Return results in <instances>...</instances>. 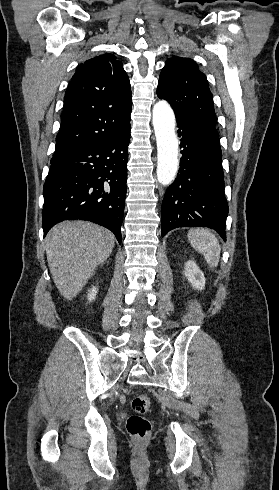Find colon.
I'll list each match as a JSON object with an SVG mask.
<instances>
[{
    "mask_svg": "<svg viewBox=\"0 0 279 490\" xmlns=\"http://www.w3.org/2000/svg\"><path fill=\"white\" fill-rule=\"evenodd\" d=\"M133 413L129 415L126 428L132 442H149L151 422L144 415L149 411L151 400L146 395H138L132 399Z\"/></svg>",
    "mask_w": 279,
    "mask_h": 490,
    "instance_id": "1",
    "label": "colon"
}]
</instances>
